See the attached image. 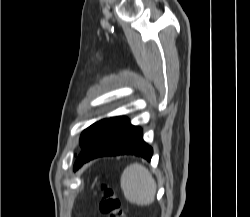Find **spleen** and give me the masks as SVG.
Instances as JSON below:
<instances>
[{
    "label": "spleen",
    "instance_id": "obj_1",
    "mask_svg": "<svg viewBox=\"0 0 250 217\" xmlns=\"http://www.w3.org/2000/svg\"><path fill=\"white\" fill-rule=\"evenodd\" d=\"M124 197L132 204L148 206L155 200L156 182L141 164L127 166L121 176Z\"/></svg>",
    "mask_w": 250,
    "mask_h": 217
}]
</instances>
